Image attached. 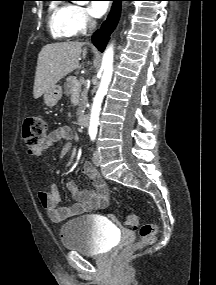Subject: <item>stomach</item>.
<instances>
[{"mask_svg":"<svg viewBox=\"0 0 216 285\" xmlns=\"http://www.w3.org/2000/svg\"><path fill=\"white\" fill-rule=\"evenodd\" d=\"M62 97V87L54 85L49 91L44 93V102L48 107H54Z\"/></svg>","mask_w":216,"mask_h":285,"instance_id":"stomach-1","label":"stomach"}]
</instances>
